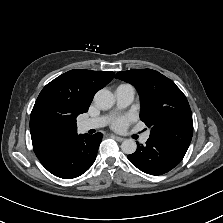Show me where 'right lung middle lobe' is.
Segmentation results:
<instances>
[{"mask_svg": "<svg viewBox=\"0 0 223 223\" xmlns=\"http://www.w3.org/2000/svg\"><path fill=\"white\" fill-rule=\"evenodd\" d=\"M72 123L74 126L76 125V119L74 118H69V117H62L57 114H49L46 115L43 119V124L46 127L58 129L61 127H64L67 124Z\"/></svg>", "mask_w": 223, "mask_h": 223, "instance_id": "right-lung-middle-lobe-1", "label": "right lung middle lobe"}]
</instances>
